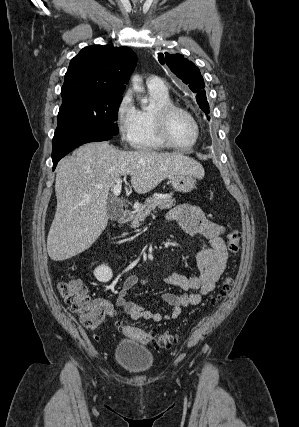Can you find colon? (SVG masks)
I'll list each match as a JSON object with an SVG mask.
<instances>
[{"mask_svg":"<svg viewBox=\"0 0 299 427\" xmlns=\"http://www.w3.org/2000/svg\"><path fill=\"white\" fill-rule=\"evenodd\" d=\"M227 239L228 250L233 254L237 253L240 248L238 231L232 230ZM231 286L232 278L225 276L215 301L227 297ZM58 289L70 309L80 315L81 321L86 328L96 329L101 324L105 312L99 304L92 301L86 286L80 279L71 277L62 280L58 283ZM118 327L123 334L134 338L138 342L143 344L152 343L158 348L170 347L176 341L175 337L170 333L158 335L125 322H119Z\"/></svg>","mask_w":299,"mask_h":427,"instance_id":"colon-1","label":"colon"}]
</instances>
